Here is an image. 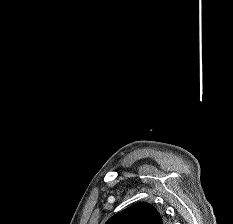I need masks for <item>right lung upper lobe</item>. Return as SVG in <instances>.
Here are the masks:
<instances>
[{"mask_svg": "<svg viewBox=\"0 0 233 224\" xmlns=\"http://www.w3.org/2000/svg\"><path fill=\"white\" fill-rule=\"evenodd\" d=\"M106 224H164V219L153 205L139 202L112 216Z\"/></svg>", "mask_w": 233, "mask_h": 224, "instance_id": "right-lung-upper-lobe-1", "label": "right lung upper lobe"}]
</instances>
